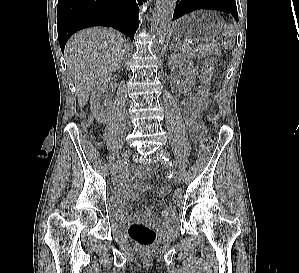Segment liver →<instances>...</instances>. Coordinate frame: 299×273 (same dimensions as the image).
Listing matches in <instances>:
<instances>
[{"mask_svg":"<svg viewBox=\"0 0 299 273\" xmlns=\"http://www.w3.org/2000/svg\"><path fill=\"white\" fill-rule=\"evenodd\" d=\"M126 46L121 33L102 27L82 30L69 39L65 59L81 107L87 103L96 81L120 68Z\"/></svg>","mask_w":299,"mask_h":273,"instance_id":"1","label":"liver"}]
</instances>
